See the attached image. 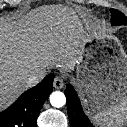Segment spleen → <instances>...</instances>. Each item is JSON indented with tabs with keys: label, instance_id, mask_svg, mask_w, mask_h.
<instances>
[{
	"label": "spleen",
	"instance_id": "3e777b00",
	"mask_svg": "<svg viewBox=\"0 0 127 127\" xmlns=\"http://www.w3.org/2000/svg\"><path fill=\"white\" fill-rule=\"evenodd\" d=\"M93 120L99 127H123L127 123V98L107 110L98 112L93 116Z\"/></svg>",
	"mask_w": 127,
	"mask_h": 127
}]
</instances>
